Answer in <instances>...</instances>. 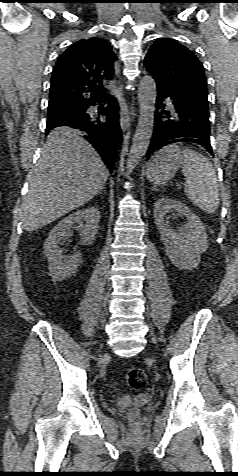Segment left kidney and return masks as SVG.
Listing matches in <instances>:
<instances>
[{
	"label": "left kidney",
	"instance_id": "1",
	"mask_svg": "<svg viewBox=\"0 0 238 476\" xmlns=\"http://www.w3.org/2000/svg\"><path fill=\"white\" fill-rule=\"evenodd\" d=\"M171 211L187 218V224L177 231L171 229L165 219ZM154 220L171 262L180 269L195 268L201 254L208 249L206 230L200 218L183 203L162 197L154 204Z\"/></svg>",
	"mask_w": 238,
	"mask_h": 476
}]
</instances>
